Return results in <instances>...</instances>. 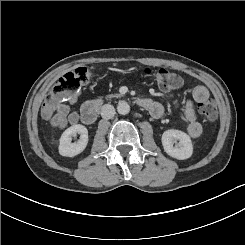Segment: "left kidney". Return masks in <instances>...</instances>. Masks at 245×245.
Returning <instances> with one entry per match:
<instances>
[{"label":"left kidney","instance_id":"obj_1","mask_svg":"<svg viewBox=\"0 0 245 245\" xmlns=\"http://www.w3.org/2000/svg\"><path fill=\"white\" fill-rule=\"evenodd\" d=\"M161 142L164 151L172 158L186 160L193 155V142L190 136L181 130H166L162 134Z\"/></svg>","mask_w":245,"mask_h":245}]
</instances>
